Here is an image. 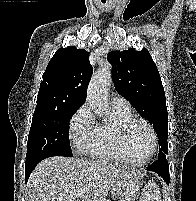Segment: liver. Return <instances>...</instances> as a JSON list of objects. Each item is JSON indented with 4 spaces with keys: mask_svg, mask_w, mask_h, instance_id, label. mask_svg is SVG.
Returning <instances> with one entry per match:
<instances>
[{
    "mask_svg": "<svg viewBox=\"0 0 196 201\" xmlns=\"http://www.w3.org/2000/svg\"><path fill=\"white\" fill-rule=\"evenodd\" d=\"M125 177L140 179L135 171L106 161H84L54 156L41 161L27 183V201H106L114 183ZM79 191L83 194L79 196Z\"/></svg>",
    "mask_w": 196,
    "mask_h": 201,
    "instance_id": "6515ba94",
    "label": "liver"
}]
</instances>
